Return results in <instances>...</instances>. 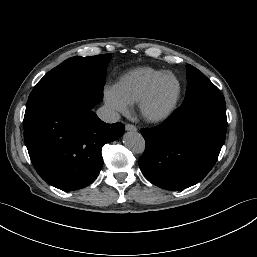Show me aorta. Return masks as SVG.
<instances>
[{
	"instance_id": "1",
	"label": "aorta",
	"mask_w": 257,
	"mask_h": 257,
	"mask_svg": "<svg viewBox=\"0 0 257 257\" xmlns=\"http://www.w3.org/2000/svg\"><path fill=\"white\" fill-rule=\"evenodd\" d=\"M123 143L133 153L141 154L145 150V140L136 131L126 132L123 136Z\"/></svg>"
}]
</instances>
